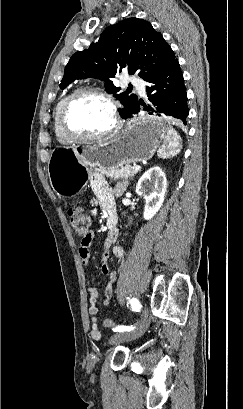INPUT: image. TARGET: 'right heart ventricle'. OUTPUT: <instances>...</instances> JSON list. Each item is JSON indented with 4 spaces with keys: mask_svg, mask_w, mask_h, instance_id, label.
<instances>
[{
    "mask_svg": "<svg viewBox=\"0 0 243 409\" xmlns=\"http://www.w3.org/2000/svg\"><path fill=\"white\" fill-rule=\"evenodd\" d=\"M67 96H63L55 105L54 108V115H53V125H54V131L57 137V140L62 143V144H70L72 140L67 138L65 134L62 132L60 123H59V113L60 109L62 106L63 101L65 100Z\"/></svg>",
    "mask_w": 243,
    "mask_h": 409,
    "instance_id": "1",
    "label": "right heart ventricle"
}]
</instances>
